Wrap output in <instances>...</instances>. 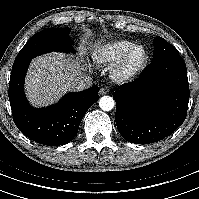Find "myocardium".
Instances as JSON below:
<instances>
[{
	"instance_id": "1",
	"label": "myocardium",
	"mask_w": 199,
	"mask_h": 199,
	"mask_svg": "<svg viewBox=\"0 0 199 199\" xmlns=\"http://www.w3.org/2000/svg\"><path fill=\"white\" fill-rule=\"evenodd\" d=\"M137 50L142 52V56L138 64L132 68H128V60L130 56ZM148 62V52L142 45H132L111 67V78L117 83H128L135 80L144 70Z\"/></svg>"
}]
</instances>
